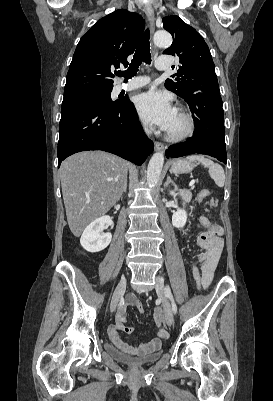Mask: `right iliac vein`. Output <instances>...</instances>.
<instances>
[{
    "label": "right iliac vein",
    "instance_id": "1",
    "mask_svg": "<svg viewBox=\"0 0 273 401\" xmlns=\"http://www.w3.org/2000/svg\"><path fill=\"white\" fill-rule=\"evenodd\" d=\"M125 289H126V279H122L118 283L116 289L114 290V293H113V296H112V300H111V303H110V311L111 312H114V310H115V308H116V306H117V304L119 302L120 297L125 292Z\"/></svg>",
    "mask_w": 273,
    "mask_h": 401
}]
</instances>
